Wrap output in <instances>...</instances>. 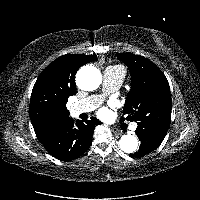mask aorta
<instances>
[{"mask_svg":"<svg viewBox=\"0 0 200 200\" xmlns=\"http://www.w3.org/2000/svg\"><path fill=\"white\" fill-rule=\"evenodd\" d=\"M77 85L85 91H93L102 81L100 71L94 66L82 67L76 76ZM119 147L125 153H134L138 148V140L131 134L123 135L119 140Z\"/></svg>","mask_w":200,"mask_h":200,"instance_id":"obj_1","label":"aorta"}]
</instances>
